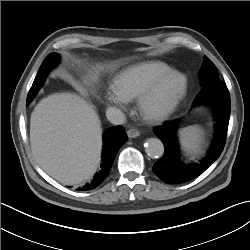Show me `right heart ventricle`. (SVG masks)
<instances>
[{
	"label": "right heart ventricle",
	"instance_id": "e07e8e85",
	"mask_svg": "<svg viewBox=\"0 0 250 250\" xmlns=\"http://www.w3.org/2000/svg\"><path fill=\"white\" fill-rule=\"evenodd\" d=\"M172 70L171 66L157 60L136 63L117 73L112 86L129 100L136 99L154 80Z\"/></svg>",
	"mask_w": 250,
	"mask_h": 250
}]
</instances>
